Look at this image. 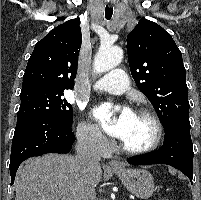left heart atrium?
Segmentation results:
<instances>
[{
  "mask_svg": "<svg viewBox=\"0 0 201 200\" xmlns=\"http://www.w3.org/2000/svg\"><path fill=\"white\" fill-rule=\"evenodd\" d=\"M109 110V105H101L94 110V116L107 133L113 137L122 139L133 113L130 109L125 108L115 121H110Z\"/></svg>",
  "mask_w": 201,
  "mask_h": 200,
  "instance_id": "1",
  "label": "left heart atrium"
}]
</instances>
